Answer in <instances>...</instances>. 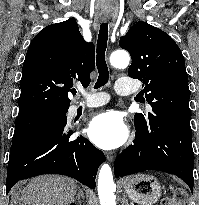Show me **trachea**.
Instances as JSON below:
<instances>
[{
	"label": "trachea",
	"mask_w": 199,
	"mask_h": 205,
	"mask_svg": "<svg viewBox=\"0 0 199 205\" xmlns=\"http://www.w3.org/2000/svg\"><path fill=\"white\" fill-rule=\"evenodd\" d=\"M107 41H108V23H102L100 26L98 40H97L96 66L98 69L99 76L94 86L95 89H98L106 85L109 80V71L105 60ZM73 94H76V90L73 91Z\"/></svg>",
	"instance_id": "obj_1"
}]
</instances>
